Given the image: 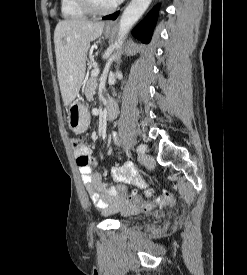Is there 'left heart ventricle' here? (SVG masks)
Masks as SVG:
<instances>
[{"label":"left heart ventricle","instance_id":"left-heart-ventricle-1","mask_svg":"<svg viewBox=\"0 0 247 275\" xmlns=\"http://www.w3.org/2000/svg\"><path fill=\"white\" fill-rule=\"evenodd\" d=\"M99 8H109L115 4L114 0H93Z\"/></svg>","mask_w":247,"mask_h":275}]
</instances>
